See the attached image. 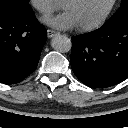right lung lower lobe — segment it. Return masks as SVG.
Returning <instances> with one entry per match:
<instances>
[{
    "mask_svg": "<svg viewBox=\"0 0 128 128\" xmlns=\"http://www.w3.org/2000/svg\"><path fill=\"white\" fill-rule=\"evenodd\" d=\"M47 32L30 10H0V82L15 84L35 71Z\"/></svg>",
    "mask_w": 128,
    "mask_h": 128,
    "instance_id": "obj_1",
    "label": "right lung lower lobe"
}]
</instances>
